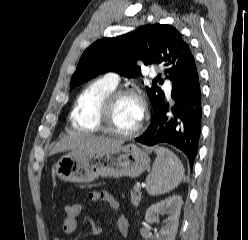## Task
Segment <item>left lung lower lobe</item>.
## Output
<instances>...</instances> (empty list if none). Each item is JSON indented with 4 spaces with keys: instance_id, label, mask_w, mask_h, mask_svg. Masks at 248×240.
<instances>
[{
    "instance_id": "0a47b994",
    "label": "left lung lower lobe",
    "mask_w": 248,
    "mask_h": 240,
    "mask_svg": "<svg viewBox=\"0 0 248 240\" xmlns=\"http://www.w3.org/2000/svg\"><path fill=\"white\" fill-rule=\"evenodd\" d=\"M201 87L197 67L182 81L172 85L175 104L167 115L169 104L163 105L151 118L145 133L135 140L149 146L168 143L181 150L193 166L199 146L202 122Z\"/></svg>"
}]
</instances>
